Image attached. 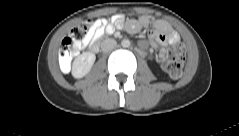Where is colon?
Listing matches in <instances>:
<instances>
[{
  "label": "colon",
  "instance_id": "1",
  "mask_svg": "<svg viewBox=\"0 0 239 136\" xmlns=\"http://www.w3.org/2000/svg\"><path fill=\"white\" fill-rule=\"evenodd\" d=\"M95 24L96 20L88 19L75 26L69 36L63 39L59 48V65L63 70L69 69L77 45L89 35ZM185 56L186 49L182 43H174L170 46L164 69L172 78L181 76Z\"/></svg>",
  "mask_w": 239,
  "mask_h": 136
}]
</instances>
